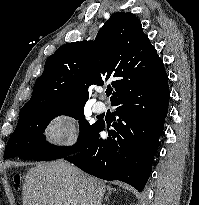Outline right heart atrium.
Instances as JSON below:
<instances>
[{"label":"right heart atrium","instance_id":"d8ad5b80","mask_svg":"<svg viewBox=\"0 0 199 205\" xmlns=\"http://www.w3.org/2000/svg\"><path fill=\"white\" fill-rule=\"evenodd\" d=\"M46 144L54 147H72L79 138L78 124L68 112H59L52 116L42 131Z\"/></svg>","mask_w":199,"mask_h":205}]
</instances>
